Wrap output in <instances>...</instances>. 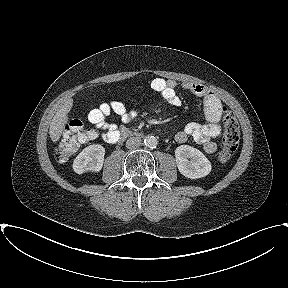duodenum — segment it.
Returning a JSON list of instances; mask_svg holds the SVG:
<instances>
[{
    "label": "duodenum",
    "instance_id": "duodenum-1",
    "mask_svg": "<svg viewBox=\"0 0 288 288\" xmlns=\"http://www.w3.org/2000/svg\"><path fill=\"white\" fill-rule=\"evenodd\" d=\"M129 135V133L128 132H125L124 133V137H126V136H128Z\"/></svg>",
    "mask_w": 288,
    "mask_h": 288
}]
</instances>
